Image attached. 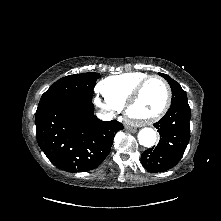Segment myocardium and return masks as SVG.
<instances>
[{
    "instance_id": "myocardium-1",
    "label": "myocardium",
    "mask_w": 221,
    "mask_h": 221,
    "mask_svg": "<svg viewBox=\"0 0 221 221\" xmlns=\"http://www.w3.org/2000/svg\"><path fill=\"white\" fill-rule=\"evenodd\" d=\"M157 79L159 80L165 87L166 90V98L165 102L162 106V108L155 113L154 115L147 117V118H135L131 115V109L134 106V104L137 102L143 88L145 85L153 80ZM171 99H172V92L170 85L168 82L161 76L159 75H149L146 78H144L131 92L129 95L128 99L126 100L124 104V113L126 116V119L129 123L135 125V126H145V125H150L153 124L154 122L158 121L169 109L170 104H171Z\"/></svg>"
}]
</instances>
